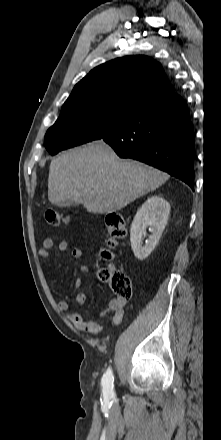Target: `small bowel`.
<instances>
[{
    "label": "small bowel",
    "mask_w": 221,
    "mask_h": 440,
    "mask_svg": "<svg viewBox=\"0 0 221 440\" xmlns=\"http://www.w3.org/2000/svg\"><path fill=\"white\" fill-rule=\"evenodd\" d=\"M53 247H56L57 250L60 252H65L70 248V245L67 241L64 240L55 241L53 239H46L43 242V246L38 250V256L42 259H48L50 257V252ZM71 256L74 260H80L83 256L82 250L79 248L72 249ZM79 270L82 275H86L89 272V267L87 265H81ZM82 283V277H77L74 281V286L76 288H79ZM86 302L87 295L84 292L77 293L76 303L80 307H84L86 305ZM125 303V299H120L116 297L109 302L108 307L105 310L101 311L98 314L99 319H104L108 316H112V320L108 325H102L96 321L87 320L80 312L69 313L67 317L77 329L83 330L92 335H96L102 332L107 327L115 326L120 322L123 315ZM57 306L63 312H67L69 310V304L65 300L58 301Z\"/></svg>",
    "instance_id": "1"
}]
</instances>
